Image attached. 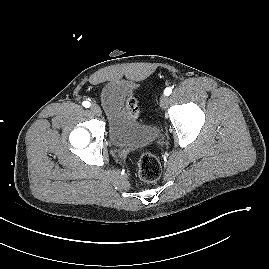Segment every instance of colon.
<instances>
[{
	"mask_svg": "<svg viewBox=\"0 0 269 269\" xmlns=\"http://www.w3.org/2000/svg\"><path fill=\"white\" fill-rule=\"evenodd\" d=\"M128 112L133 118L139 114L137 100L134 95H130L126 103ZM137 169L140 178L148 183L155 182L161 174V165L156 156L150 153H142L137 161Z\"/></svg>",
	"mask_w": 269,
	"mask_h": 269,
	"instance_id": "obj_1",
	"label": "colon"
}]
</instances>
